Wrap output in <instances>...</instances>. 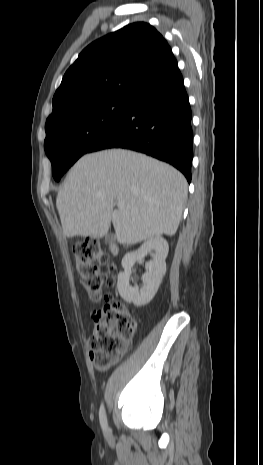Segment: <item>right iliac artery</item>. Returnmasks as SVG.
<instances>
[{"label":"right iliac artery","mask_w":263,"mask_h":465,"mask_svg":"<svg viewBox=\"0 0 263 465\" xmlns=\"http://www.w3.org/2000/svg\"><path fill=\"white\" fill-rule=\"evenodd\" d=\"M99 420H100V424H101L103 431L107 432L108 423H107V417H106L105 408L103 404L101 405L100 410H99Z\"/></svg>","instance_id":"1"}]
</instances>
